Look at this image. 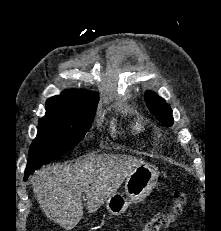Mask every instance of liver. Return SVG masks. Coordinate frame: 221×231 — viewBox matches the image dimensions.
<instances>
[{"mask_svg": "<svg viewBox=\"0 0 221 231\" xmlns=\"http://www.w3.org/2000/svg\"><path fill=\"white\" fill-rule=\"evenodd\" d=\"M144 161L126 155H89L70 164H55L31 178L33 192L45 215L66 230L83 216L82 194L89 213L113 196L124 180Z\"/></svg>", "mask_w": 221, "mask_h": 231, "instance_id": "liver-1", "label": "liver"}]
</instances>
